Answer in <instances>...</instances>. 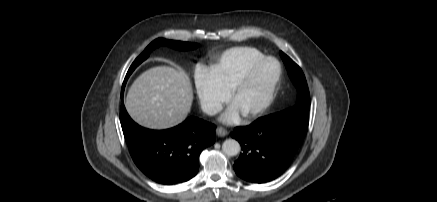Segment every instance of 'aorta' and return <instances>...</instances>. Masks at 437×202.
<instances>
[{"label":"aorta","mask_w":437,"mask_h":202,"mask_svg":"<svg viewBox=\"0 0 437 202\" xmlns=\"http://www.w3.org/2000/svg\"><path fill=\"white\" fill-rule=\"evenodd\" d=\"M240 144L234 139H227L222 144V151L228 156H235L240 152Z\"/></svg>","instance_id":"aorta-1"}]
</instances>
